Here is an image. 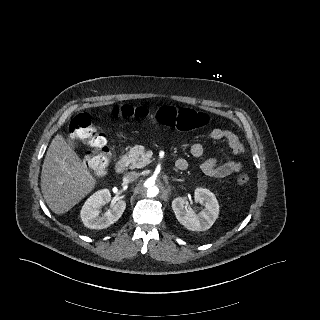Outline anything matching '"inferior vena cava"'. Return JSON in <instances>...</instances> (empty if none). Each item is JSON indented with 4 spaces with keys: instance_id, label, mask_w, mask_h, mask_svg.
Wrapping results in <instances>:
<instances>
[{
    "instance_id": "602c4592",
    "label": "inferior vena cava",
    "mask_w": 320,
    "mask_h": 320,
    "mask_svg": "<svg viewBox=\"0 0 320 320\" xmlns=\"http://www.w3.org/2000/svg\"><path fill=\"white\" fill-rule=\"evenodd\" d=\"M139 177V173L132 171V172H128L124 177H123V181L124 182H133L135 181L137 178Z\"/></svg>"
}]
</instances>
